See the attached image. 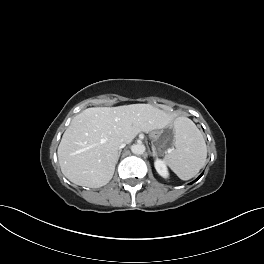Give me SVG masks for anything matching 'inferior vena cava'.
Returning a JSON list of instances; mask_svg holds the SVG:
<instances>
[{"label": "inferior vena cava", "mask_w": 264, "mask_h": 264, "mask_svg": "<svg viewBox=\"0 0 264 264\" xmlns=\"http://www.w3.org/2000/svg\"><path fill=\"white\" fill-rule=\"evenodd\" d=\"M126 146V143L123 141H120L119 143V149L124 148Z\"/></svg>", "instance_id": "inferior-vena-cava-1"}]
</instances>
